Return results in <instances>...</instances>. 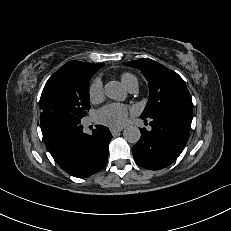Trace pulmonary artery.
<instances>
[{"mask_svg": "<svg viewBox=\"0 0 231 231\" xmlns=\"http://www.w3.org/2000/svg\"><path fill=\"white\" fill-rule=\"evenodd\" d=\"M137 89H138V83L132 85L128 90H129L130 92H136Z\"/></svg>", "mask_w": 231, "mask_h": 231, "instance_id": "1", "label": "pulmonary artery"}]
</instances>
